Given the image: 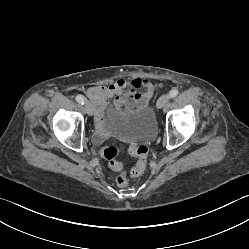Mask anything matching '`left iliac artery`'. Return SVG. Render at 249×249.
I'll return each instance as SVG.
<instances>
[{"label":"left iliac artery","instance_id":"44dca946","mask_svg":"<svg viewBox=\"0 0 249 249\" xmlns=\"http://www.w3.org/2000/svg\"><path fill=\"white\" fill-rule=\"evenodd\" d=\"M179 91L177 89H172L169 93L170 98H174L178 95Z\"/></svg>","mask_w":249,"mask_h":249}]
</instances>
